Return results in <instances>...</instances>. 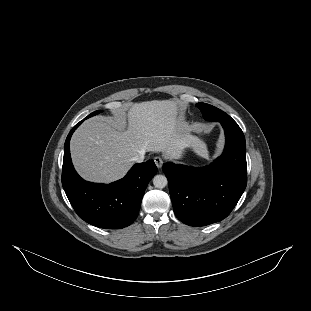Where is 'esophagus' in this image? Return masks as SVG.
Instances as JSON below:
<instances>
[{
  "label": "esophagus",
  "instance_id": "obj_1",
  "mask_svg": "<svg viewBox=\"0 0 311 311\" xmlns=\"http://www.w3.org/2000/svg\"><path fill=\"white\" fill-rule=\"evenodd\" d=\"M154 163L160 169L163 166V159L161 157H154Z\"/></svg>",
  "mask_w": 311,
  "mask_h": 311
}]
</instances>
